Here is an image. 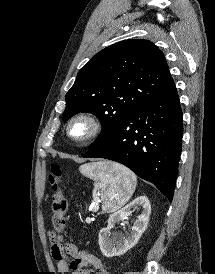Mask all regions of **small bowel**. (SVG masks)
<instances>
[{
  "label": "small bowel",
  "mask_w": 215,
  "mask_h": 274,
  "mask_svg": "<svg viewBox=\"0 0 215 274\" xmlns=\"http://www.w3.org/2000/svg\"><path fill=\"white\" fill-rule=\"evenodd\" d=\"M51 253L56 261L58 271L62 274H91L89 267L96 270L95 274H108L101 260L86 249L79 248L72 242L63 244L51 240ZM68 256L72 259L69 261Z\"/></svg>",
  "instance_id": "c3829d8e"
}]
</instances>
